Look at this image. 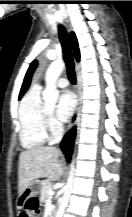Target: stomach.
<instances>
[{"label": "stomach", "mask_w": 132, "mask_h": 217, "mask_svg": "<svg viewBox=\"0 0 132 217\" xmlns=\"http://www.w3.org/2000/svg\"><path fill=\"white\" fill-rule=\"evenodd\" d=\"M41 191V183L36 180L30 183V185L25 190V193H27V197H33L39 194Z\"/></svg>", "instance_id": "1"}]
</instances>
